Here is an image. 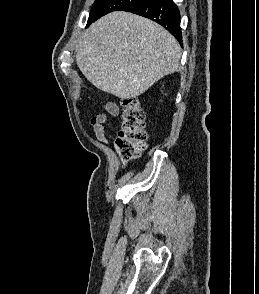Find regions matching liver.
Listing matches in <instances>:
<instances>
[{"instance_id":"obj_1","label":"liver","mask_w":259,"mask_h":294,"mask_svg":"<svg viewBox=\"0 0 259 294\" xmlns=\"http://www.w3.org/2000/svg\"><path fill=\"white\" fill-rule=\"evenodd\" d=\"M181 48L162 26L118 11L93 23L82 37L76 61L96 88L135 98L179 67Z\"/></svg>"}]
</instances>
